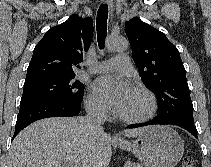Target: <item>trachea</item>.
<instances>
[{
	"instance_id": "1",
	"label": "trachea",
	"mask_w": 211,
	"mask_h": 167,
	"mask_svg": "<svg viewBox=\"0 0 211 167\" xmlns=\"http://www.w3.org/2000/svg\"><path fill=\"white\" fill-rule=\"evenodd\" d=\"M108 4H101L96 19L97 41L100 49L104 48L105 38L107 34Z\"/></svg>"
}]
</instances>
